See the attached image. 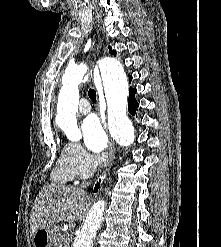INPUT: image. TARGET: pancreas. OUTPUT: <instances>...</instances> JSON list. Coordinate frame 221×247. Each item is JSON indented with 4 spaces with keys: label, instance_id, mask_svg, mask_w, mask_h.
I'll use <instances>...</instances> for the list:
<instances>
[{
    "label": "pancreas",
    "instance_id": "pancreas-1",
    "mask_svg": "<svg viewBox=\"0 0 221 247\" xmlns=\"http://www.w3.org/2000/svg\"><path fill=\"white\" fill-rule=\"evenodd\" d=\"M53 231L54 247H68L67 238L60 233V228L56 227Z\"/></svg>",
    "mask_w": 221,
    "mask_h": 247
}]
</instances>
